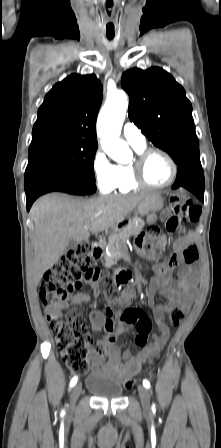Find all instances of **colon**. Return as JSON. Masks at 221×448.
<instances>
[{
  "label": "colon",
  "instance_id": "obj_1",
  "mask_svg": "<svg viewBox=\"0 0 221 448\" xmlns=\"http://www.w3.org/2000/svg\"><path fill=\"white\" fill-rule=\"evenodd\" d=\"M170 212L172 216L167 219L166 227L171 232L183 231L184 225L194 223L199 217V207L182 194L170 198ZM180 259L185 264H194L198 259V251L194 245L187 246L181 253ZM99 278V271L91 265L90 247L80 244L71 250L56 266L48 270L41 282L40 298L47 308H59L68 302L73 292L84 285L93 283ZM114 285L106 281V296L116 308H119L118 298L115 296ZM127 322L136 327L135 344L145 347L149 334L152 331V322L147 313L135 307L124 311ZM51 329L56 336L58 350L67 366L76 373L85 374L89 370L87 361V347L92 342L87 325L77 318L76 312H71L67 318L60 316V311H52L48 315ZM183 313L176 309L170 321L174 326L179 325ZM108 330L113 329L112 321L106 325ZM137 382V378H127L124 387L130 389Z\"/></svg>",
  "mask_w": 221,
  "mask_h": 448
}]
</instances>
